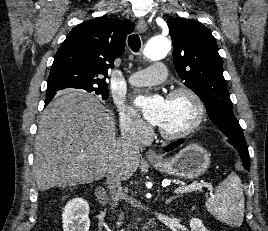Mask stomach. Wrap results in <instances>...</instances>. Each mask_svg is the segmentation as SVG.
Wrapping results in <instances>:
<instances>
[{
    "instance_id": "1",
    "label": "stomach",
    "mask_w": 268,
    "mask_h": 231,
    "mask_svg": "<svg viewBox=\"0 0 268 231\" xmlns=\"http://www.w3.org/2000/svg\"><path fill=\"white\" fill-rule=\"evenodd\" d=\"M160 172L185 179L203 175L210 166V154L198 144H190L169 159L151 161Z\"/></svg>"
}]
</instances>
